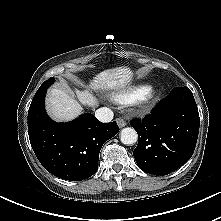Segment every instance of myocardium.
Instances as JSON below:
<instances>
[{
    "label": "myocardium",
    "mask_w": 221,
    "mask_h": 221,
    "mask_svg": "<svg viewBox=\"0 0 221 221\" xmlns=\"http://www.w3.org/2000/svg\"><path fill=\"white\" fill-rule=\"evenodd\" d=\"M156 97L154 89H147L138 99V104L147 107Z\"/></svg>",
    "instance_id": "f54148a6"
}]
</instances>
